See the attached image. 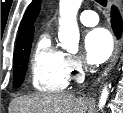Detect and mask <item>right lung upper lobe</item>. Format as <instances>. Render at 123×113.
Listing matches in <instances>:
<instances>
[{"mask_svg":"<svg viewBox=\"0 0 123 113\" xmlns=\"http://www.w3.org/2000/svg\"><path fill=\"white\" fill-rule=\"evenodd\" d=\"M41 0H33L28 6L19 27V35L17 38L16 47L33 38L34 22L40 11Z\"/></svg>","mask_w":123,"mask_h":113,"instance_id":"1","label":"right lung upper lobe"}]
</instances>
